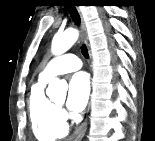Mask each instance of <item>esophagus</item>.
Returning <instances> with one entry per match:
<instances>
[{
    "label": "esophagus",
    "instance_id": "esophagus-1",
    "mask_svg": "<svg viewBox=\"0 0 155 141\" xmlns=\"http://www.w3.org/2000/svg\"><path fill=\"white\" fill-rule=\"evenodd\" d=\"M78 12L80 14V17H81V39L82 41L87 44V32H86V25L84 23V20H83V17H82V14L80 12V10L78 9ZM87 124H88V121H84L80 127L76 130L75 134L73 137H75V140H81L83 138V136L85 135V132L87 130Z\"/></svg>",
    "mask_w": 155,
    "mask_h": 141
}]
</instances>
